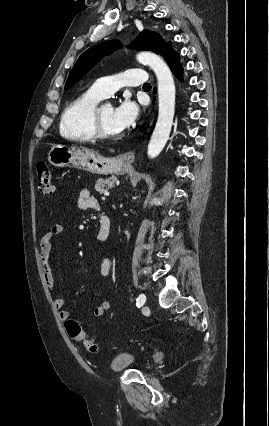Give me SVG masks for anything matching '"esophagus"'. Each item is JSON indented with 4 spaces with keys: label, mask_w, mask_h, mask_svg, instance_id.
I'll use <instances>...</instances> for the list:
<instances>
[{
    "label": "esophagus",
    "mask_w": 269,
    "mask_h": 426,
    "mask_svg": "<svg viewBox=\"0 0 269 426\" xmlns=\"http://www.w3.org/2000/svg\"><path fill=\"white\" fill-rule=\"evenodd\" d=\"M135 159V151H128L119 155V160L124 164L130 165Z\"/></svg>",
    "instance_id": "1"
}]
</instances>
